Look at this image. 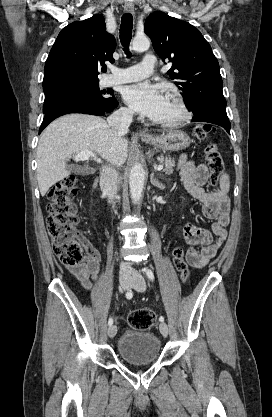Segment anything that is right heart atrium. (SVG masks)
Returning a JSON list of instances; mask_svg holds the SVG:
<instances>
[{"label":"right heart atrium","instance_id":"right-heart-atrium-1","mask_svg":"<svg viewBox=\"0 0 272 417\" xmlns=\"http://www.w3.org/2000/svg\"><path fill=\"white\" fill-rule=\"evenodd\" d=\"M119 112L123 117H130L132 115V110L126 106L121 107Z\"/></svg>","mask_w":272,"mask_h":417}]
</instances>
